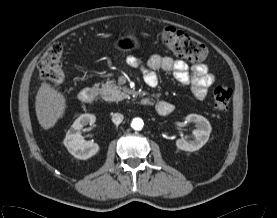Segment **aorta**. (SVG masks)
<instances>
[{
    "label": "aorta",
    "mask_w": 277,
    "mask_h": 218,
    "mask_svg": "<svg viewBox=\"0 0 277 218\" xmlns=\"http://www.w3.org/2000/svg\"><path fill=\"white\" fill-rule=\"evenodd\" d=\"M144 126V122L141 118H134L131 122V127L134 130H141Z\"/></svg>",
    "instance_id": "762f6f07"
}]
</instances>
